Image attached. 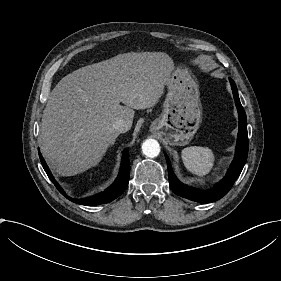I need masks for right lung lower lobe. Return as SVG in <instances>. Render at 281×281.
Here are the masks:
<instances>
[{
  "instance_id": "1",
  "label": "right lung lower lobe",
  "mask_w": 281,
  "mask_h": 281,
  "mask_svg": "<svg viewBox=\"0 0 281 281\" xmlns=\"http://www.w3.org/2000/svg\"><path fill=\"white\" fill-rule=\"evenodd\" d=\"M39 157H40L44 170L46 171L48 177L54 183V185L56 186L58 191L62 195H64L66 198H68L70 201L77 203V204L100 205V204L111 202L124 192V190L126 189V187L128 185V182H129V175H130L129 153L127 150H124L118 177L109 188H107L105 191H103L99 194H96L94 196H91V197L82 198V199H72L66 195V193L63 191V189L60 187V185L54 179L45 160L43 159V157L40 153H39Z\"/></svg>"
}]
</instances>
